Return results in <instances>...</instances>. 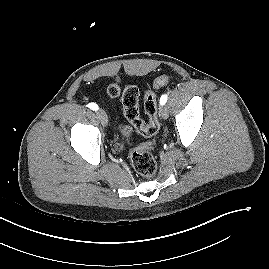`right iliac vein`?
<instances>
[{"instance_id": "obj_1", "label": "right iliac vein", "mask_w": 269, "mask_h": 269, "mask_svg": "<svg viewBox=\"0 0 269 269\" xmlns=\"http://www.w3.org/2000/svg\"><path fill=\"white\" fill-rule=\"evenodd\" d=\"M97 116H98V118H99V120L101 121V123L103 124V125H107L108 124V116H107V114L105 113V111H103V110H98L97 111Z\"/></svg>"}]
</instances>
